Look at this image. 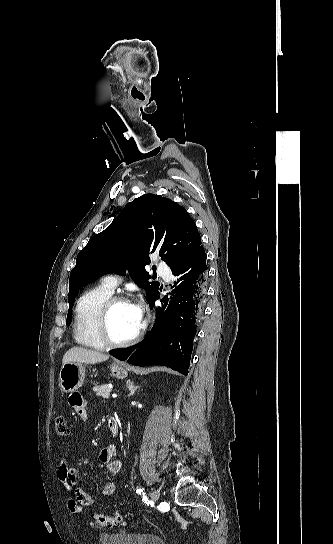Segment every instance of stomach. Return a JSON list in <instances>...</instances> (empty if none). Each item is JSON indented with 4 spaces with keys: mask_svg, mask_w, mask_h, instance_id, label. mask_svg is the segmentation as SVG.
I'll list each match as a JSON object with an SVG mask.
<instances>
[{
    "mask_svg": "<svg viewBox=\"0 0 333 544\" xmlns=\"http://www.w3.org/2000/svg\"><path fill=\"white\" fill-rule=\"evenodd\" d=\"M111 373L114 377L124 379L128 372L124 365L113 364ZM85 378V367L80 362H68L64 364L59 374V385L63 392H72L80 388Z\"/></svg>",
    "mask_w": 333,
    "mask_h": 544,
    "instance_id": "stomach-1",
    "label": "stomach"
}]
</instances>
